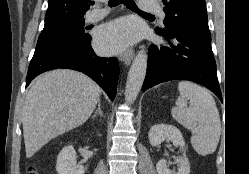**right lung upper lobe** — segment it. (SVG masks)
Segmentation results:
<instances>
[{"label":"right lung upper lobe","mask_w":249,"mask_h":174,"mask_svg":"<svg viewBox=\"0 0 249 174\" xmlns=\"http://www.w3.org/2000/svg\"><path fill=\"white\" fill-rule=\"evenodd\" d=\"M90 0H48L45 26L73 19H84Z\"/></svg>","instance_id":"obj_1"}]
</instances>
